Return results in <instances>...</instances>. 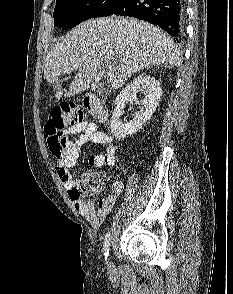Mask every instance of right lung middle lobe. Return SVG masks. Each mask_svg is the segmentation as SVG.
Instances as JSON below:
<instances>
[{"mask_svg": "<svg viewBox=\"0 0 233 294\" xmlns=\"http://www.w3.org/2000/svg\"><path fill=\"white\" fill-rule=\"evenodd\" d=\"M123 0H56L54 26L71 29L90 18L108 16Z\"/></svg>", "mask_w": 233, "mask_h": 294, "instance_id": "1", "label": "right lung middle lobe"}]
</instances>
